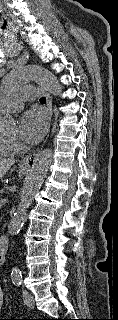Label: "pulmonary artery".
Wrapping results in <instances>:
<instances>
[{"instance_id":"e3ab8cb5","label":"pulmonary artery","mask_w":118,"mask_h":320,"mask_svg":"<svg viewBox=\"0 0 118 320\" xmlns=\"http://www.w3.org/2000/svg\"><path fill=\"white\" fill-rule=\"evenodd\" d=\"M36 99V88L27 85L20 90L13 91L8 97L0 101L1 111L17 112L21 109L23 102Z\"/></svg>"}]
</instances>
